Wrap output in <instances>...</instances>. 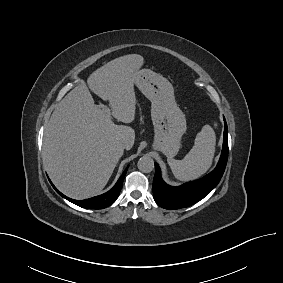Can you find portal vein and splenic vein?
Wrapping results in <instances>:
<instances>
[{"mask_svg": "<svg viewBox=\"0 0 283 283\" xmlns=\"http://www.w3.org/2000/svg\"><path fill=\"white\" fill-rule=\"evenodd\" d=\"M103 111L107 115V117L111 116V110L107 106H103Z\"/></svg>", "mask_w": 283, "mask_h": 283, "instance_id": "1", "label": "portal vein and splenic vein"}]
</instances>
